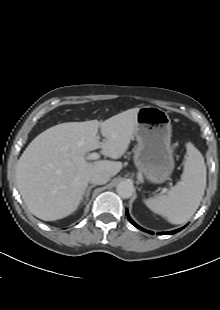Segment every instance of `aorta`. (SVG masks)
I'll return each instance as SVG.
<instances>
[{"instance_id":"762f6f07","label":"aorta","mask_w":220,"mask_h":310,"mask_svg":"<svg viewBox=\"0 0 220 310\" xmlns=\"http://www.w3.org/2000/svg\"><path fill=\"white\" fill-rule=\"evenodd\" d=\"M116 191L120 197L130 198L134 192V187L131 182L122 181L117 185Z\"/></svg>"}]
</instances>
